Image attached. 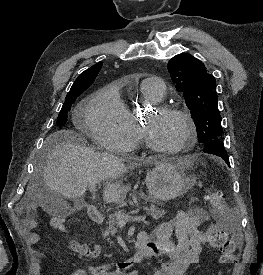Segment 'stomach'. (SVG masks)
<instances>
[{
  "mask_svg": "<svg viewBox=\"0 0 263 275\" xmlns=\"http://www.w3.org/2000/svg\"><path fill=\"white\" fill-rule=\"evenodd\" d=\"M184 170L185 166L157 163L147 172L145 179L151 197L159 201H169L181 196L186 190Z\"/></svg>",
  "mask_w": 263,
  "mask_h": 275,
  "instance_id": "1",
  "label": "stomach"
}]
</instances>
